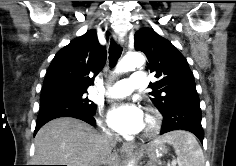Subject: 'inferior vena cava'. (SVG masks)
Instances as JSON below:
<instances>
[{
    "mask_svg": "<svg viewBox=\"0 0 236 166\" xmlns=\"http://www.w3.org/2000/svg\"><path fill=\"white\" fill-rule=\"evenodd\" d=\"M105 147L107 151L110 153L111 150L116 146L117 135H114L110 132H105L103 135Z\"/></svg>",
    "mask_w": 236,
    "mask_h": 166,
    "instance_id": "602c4592",
    "label": "inferior vena cava"
}]
</instances>
